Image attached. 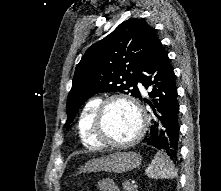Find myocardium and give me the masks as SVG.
Segmentation results:
<instances>
[{
    "label": "myocardium",
    "instance_id": "obj_1",
    "mask_svg": "<svg viewBox=\"0 0 221 191\" xmlns=\"http://www.w3.org/2000/svg\"><path fill=\"white\" fill-rule=\"evenodd\" d=\"M116 101H124L130 104L136 110L138 117H139V121H140L139 128L136 134L131 139L124 141V142L110 141L107 137V132H106L105 119H106L107 108L111 103L116 102ZM145 128H146L145 113L140 103L129 95L114 94V95L108 96L104 100L101 101L98 108L96 109L94 121H93V134L97 140V143L101 147H109V148H115V149H122V148L130 147L140 141V139L144 135Z\"/></svg>",
    "mask_w": 221,
    "mask_h": 191
}]
</instances>
